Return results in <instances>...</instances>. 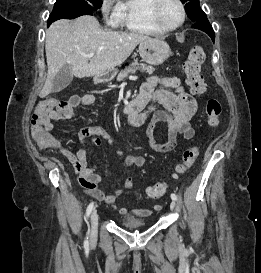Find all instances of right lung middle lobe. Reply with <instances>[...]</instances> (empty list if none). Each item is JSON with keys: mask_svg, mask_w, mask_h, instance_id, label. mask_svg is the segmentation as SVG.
Returning a JSON list of instances; mask_svg holds the SVG:
<instances>
[{"mask_svg": "<svg viewBox=\"0 0 261 273\" xmlns=\"http://www.w3.org/2000/svg\"><path fill=\"white\" fill-rule=\"evenodd\" d=\"M102 0H57L48 23L61 18L73 19L81 15H92L101 7Z\"/></svg>", "mask_w": 261, "mask_h": 273, "instance_id": "1", "label": "right lung middle lobe"}]
</instances>
